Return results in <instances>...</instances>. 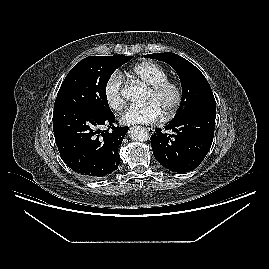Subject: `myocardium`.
Here are the masks:
<instances>
[{"mask_svg":"<svg viewBox=\"0 0 269 269\" xmlns=\"http://www.w3.org/2000/svg\"><path fill=\"white\" fill-rule=\"evenodd\" d=\"M168 89L173 90L174 101L168 108V110L163 114L165 119L171 118L180 108L184 97L183 87L180 84V82L170 78H167L165 80L156 83L153 86H150V91L154 96H159Z\"/></svg>","mask_w":269,"mask_h":269,"instance_id":"myocardium-1","label":"myocardium"}]
</instances>
